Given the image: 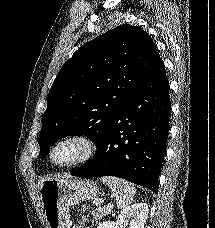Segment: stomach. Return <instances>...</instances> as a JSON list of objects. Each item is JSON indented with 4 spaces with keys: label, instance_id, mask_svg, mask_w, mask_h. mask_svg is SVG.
<instances>
[{
    "label": "stomach",
    "instance_id": "1",
    "mask_svg": "<svg viewBox=\"0 0 215 228\" xmlns=\"http://www.w3.org/2000/svg\"><path fill=\"white\" fill-rule=\"evenodd\" d=\"M47 228H71L69 206L94 200L99 188L91 180H45L39 188Z\"/></svg>",
    "mask_w": 215,
    "mask_h": 228
}]
</instances>
